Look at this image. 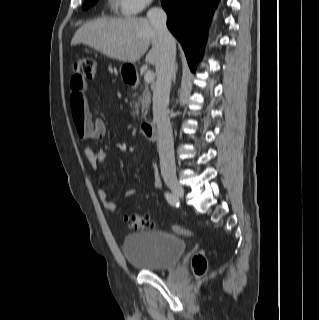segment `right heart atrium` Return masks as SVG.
<instances>
[{
  "label": "right heart atrium",
  "instance_id": "1",
  "mask_svg": "<svg viewBox=\"0 0 319 320\" xmlns=\"http://www.w3.org/2000/svg\"><path fill=\"white\" fill-rule=\"evenodd\" d=\"M151 0H112L113 5L124 15L139 14L145 9Z\"/></svg>",
  "mask_w": 319,
  "mask_h": 320
}]
</instances>
